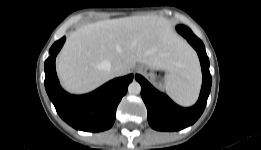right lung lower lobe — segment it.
<instances>
[{
	"label": "right lung lower lobe",
	"mask_w": 261,
	"mask_h": 150,
	"mask_svg": "<svg viewBox=\"0 0 261 150\" xmlns=\"http://www.w3.org/2000/svg\"><path fill=\"white\" fill-rule=\"evenodd\" d=\"M65 42V37L50 48V56L45 61V88L59 116L75 129L100 132L111 128L116 116V108L126 94L133 75L116 78L92 93L75 96L66 93L55 71V57Z\"/></svg>",
	"instance_id": "right-lung-lower-lobe-1"
}]
</instances>
